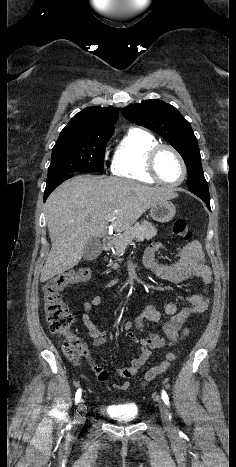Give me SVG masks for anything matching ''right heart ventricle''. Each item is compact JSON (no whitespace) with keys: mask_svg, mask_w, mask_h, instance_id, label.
Returning a JSON list of instances; mask_svg holds the SVG:
<instances>
[{"mask_svg":"<svg viewBox=\"0 0 236 467\" xmlns=\"http://www.w3.org/2000/svg\"><path fill=\"white\" fill-rule=\"evenodd\" d=\"M158 144L150 132L140 128L129 129L116 147L112 173L135 181L155 183L147 170V156L150 149Z\"/></svg>","mask_w":236,"mask_h":467,"instance_id":"right-heart-ventricle-1","label":"right heart ventricle"}]
</instances>
